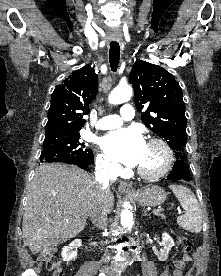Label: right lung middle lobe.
<instances>
[{"mask_svg": "<svg viewBox=\"0 0 221 276\" xmlns=\"http://www.w3.org/2000/svg\"><path fill=\"white\" fill-rule=\"evenodd\" d=\"M79 139L78 132L46 134L40 161H93L92 150L85 149L84 143H80Z\"/></svg>", "mask_w": 221, "mask_h": 276, "instance_id": "1", "label": "right lung middle lobe"}]
</instances>
